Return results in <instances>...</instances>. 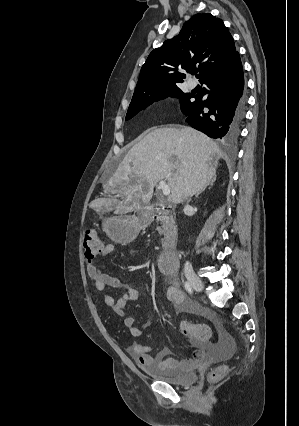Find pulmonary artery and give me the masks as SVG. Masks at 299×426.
I'll use <instances>...</instances> for the list:
<instances>
[{
  "label": "pulmonary artery",
  "instance_id": "1",
  "mask_svg": "<svg viewBox=\"0 0 299 426\" xmlns=\"http://www.w3.org/2000/svg\"><path fill=\"white\" fill-rule=\"evenodd\" d=\"M188 85L190 88H194L196 86V83L194 81H189Z\"/></svg>",
  "mask_w": 299,
  "mask_h": 426
}]
</instances>
